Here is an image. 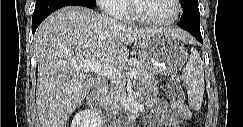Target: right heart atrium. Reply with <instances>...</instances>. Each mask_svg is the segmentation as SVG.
I'll return each instance as SVG.
<instances>
[{
	"mask_svg": "<svg viewBox=\"0 0 243 127\" xmlns=\"http://www.w3.org/2000/svg\"><path fill=\"white\" fill-rule=\"evenodd\" d=\"M121 0H97V4L101 10L108 15H120L121 8L119 6Z\"/></svg>",
	"mask_w": 243,
	"mask_h": 127,
	"instance_id": "right-heart-atrium-1",
	"label": "right heart atrium"
}]
</instances>
